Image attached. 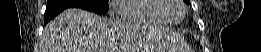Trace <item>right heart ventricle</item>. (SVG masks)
<instances>
[{
  "mask_svg": "<svg viewBox=\"0 0 261 52\" xmlns=\"http://www.w3.org/2000/svg\"><path fill=\"white\" fill-rule=\"evenodd\" d=\"M167 7L164 0H127L118 8L120 19L138 24H169L163 16Z\"/></svg>",
  "mask_w": 261,
  "mask_h": 52,
  "instance_id": "obj_1",
  "label": "right heart ventricle"
}]
</instances>
